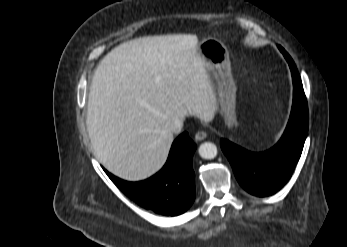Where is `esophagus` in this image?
<instances>
[{
  "label": "esophagus",
  "instance_id": "34e87169",
  "mask_svg": "<svg viewBox=\"0 0 347 247\" xmlns=\"http://www.w3.org/2000/svg\"><path fill=\"white\" fill-rule=\"evenodd\" d=\"M207 137V133L205 131H198L196 134H195V139L197 141H202L204 140L205 138Z\"/></svg>",
  "mask_w": 347,
  "mask_h": 247
}]
</instances>
